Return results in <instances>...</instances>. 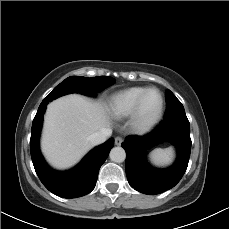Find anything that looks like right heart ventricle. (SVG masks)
I'll return each mask as SVG.
<instances>
[{"label":"right heart ventricle","instance_id":"obj_1","mask_svg":"<svg viewBox=\"0 0 229 229\" xmlns=\"http://www.w3.org/2000/svg\"><path fill=\"white\" fill-rule=\"evenodd\" d=\"M148 87H129L112 94L106 103L107 111L117 119L131 115L138 98Z\"/></svg>","mask_w":229,"mask_h":229}]
</instances>
